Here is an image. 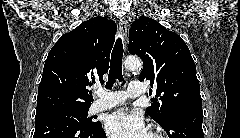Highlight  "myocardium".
Returning a JSON list of instances; mask_svg holds the SVG:
<instances>
[{"mask_svg": "<svg viewBox=\"0 0 240 138\" xmlns=\"http://www.w3.org/2000/svg\"><path fill=\"white\" fill-rule=\"evenodd\" d=\"M153 135H154V138H164L163 134L158 131H155Z\"/></svg>", "mask_w": 240, "mask_h": 138, "instance_id": "f54148a6", "label": "myocardium"}]
</instances>
